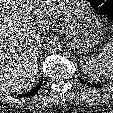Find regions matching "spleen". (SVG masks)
Here are the masks:
<instances>
[{
  "mask_svg": "<svg viewBox=\"0 0 113 113\" xmlns=\"http://www.w3.org/2000/svg\"><path fill=\"white\" fill-rule=\"evenodd\" d=\"M80 64L93 81L113 80V40L105 44L99 54L82 56Z\"/></svg>",
  "mask_w": 113,
  "mask_h": 113,
  "instance_id": "3e777b00",
  "label": "spleen"
}]
</instances>
